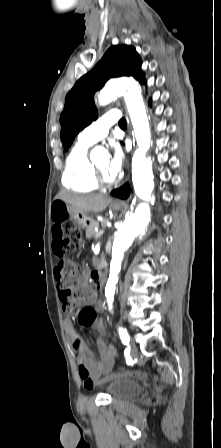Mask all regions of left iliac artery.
Masks as SVG:
<instances>
[{"instance_id": "obj_1", "label": "left iliac artery", "mask_w": 221, "mask_h": 448, "mask_svg": "<svg viewBox=\"0 0 221 448\" xmlns=\"http://www.w3.org/2000/svg\"><path fill=\"white\" fill-rule=\"evenodd\" d=\"M119 335H120V339L123 342V344L128 345L129 341H130V337L128 335L127 330L122 327H119Z\"/></svg>"}]
</instances>
